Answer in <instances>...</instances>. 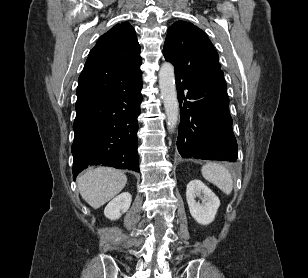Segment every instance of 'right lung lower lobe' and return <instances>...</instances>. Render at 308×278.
<instances>
[{
	"label": "right lung lower lobe",
	"instance_id": "obj_1",
	"mask_svg": "<svg viewBox=\"0 0 308 278\" xmlns=\"http://www.w3.org/2000/svg\"><path fill=\"white\" fill-rule=\"evenodd\" d=\"M142 78L117 94L76 102L72 145L73 178L88 165L139 172L137 117Z\"/></svg>",
	"mask_w": 308,
	"mask_h": 278
}]
</instances>
